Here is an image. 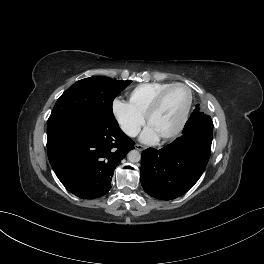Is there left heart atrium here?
Segmentation results:
<instances>
[{
    "label": "left heart atrium",
    "mask_w": 264,
    "mask_h": 264,
    "mask_svg": "<svg viewBox=\"0 0 264 264\" xmlns=\"http://www.w3.org/2000/svg\"><path fill=\"white\" fill-rule=\"evenodd\" d=\"M140 139L145 143H153L158 139V135L150 126H148L141 134Z\"/></svg>",
    "instance_id": "39dd6f15"
}]
</instances>
